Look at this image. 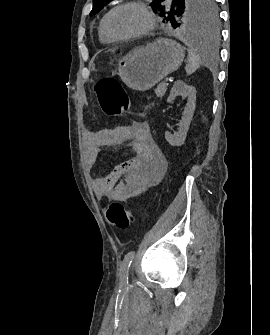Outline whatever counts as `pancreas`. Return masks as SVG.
<instances>
[{"label":"pancreas","mask_w":270,"mask_h":335,"mask_svg":"<svg viewBox=\"0 0 270 335\" xmlns=\"http://www.w3.org/2000/svg\"><path fill=\"white\" fill-rule=\"evenodd\" d=\"M166 90H167V84H165V82H161V84H159V86H157V88L155 90V94H156L157 98H162V96H164Z\"/></svg>","instance_id":"cf45deb5"}]
</instances>
